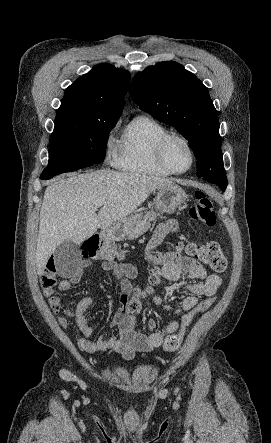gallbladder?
Returning <instances> with one entry per match:
<instances>
[{"label": "gallbladder", "mask_w": 271, "mask_h": 443, "mask_svg": "<svg viewBox=\"0 0 271 443\" xmlns=\"http://www.w3.org/2000/svg\"><path fill=\"white\" fill-rule=\"evenodd\" d=\"M77 249V245L72 241H64L57 247L55 257L58 264L55 265V272L59 273L61 278H68L70 273H77L78 269H82L81 254Z\"/></svg>", "instance_id": "gallbladder-1"}]
</instances>
